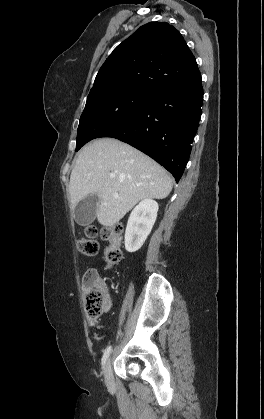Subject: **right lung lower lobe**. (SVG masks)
I'll return each instance as SVG.
<instances>
[{
  "label": "right lung lower lobe",
  "mask_w": 264,
  "mask_h": 419,
  "mask_svg": "<svg viewBox=\"0 0 264 419\" xmlns=\"http://www.w3.org/2000/svg\"><path fill=\"white\" fill-rule=\"evenodd\" d=\"M201 81L153 93L127 119L100 137L130 144L165 167L178 182L201 117Z\"/></svg>",
  "instance_id": "obj_1"
}]
</instances>
